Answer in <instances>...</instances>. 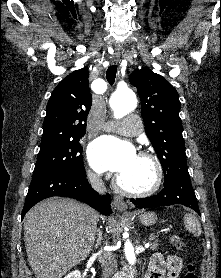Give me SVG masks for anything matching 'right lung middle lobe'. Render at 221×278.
<instances>
[{"mask_svg":"<svg viewBox=\"0 0 221 278\" xmlns=\"http://www.w3.org/2000/svg\"><path fill=\"white\" fill-rule=\"evenodd\" d=\"M81 136L41 142L31 184L59 173H84Z\"/></svg>","mask_w":221,"mask_h":278,"instance_id":"right-lung-middle-lobe-1","label":"right lung middle lobe"}]
</instances>
